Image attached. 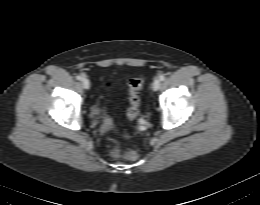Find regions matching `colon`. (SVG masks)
Returning <instances> with one entry per match:
<instances>
[{
  "instance_id": "1",
  "label": "colon",
  "mask_w": 260,
  "mask_h": 205,
  "mask_svg": "<svg viewBox=\"0 0 260 205\" xmlns=\"http://www.w3.org/2000/svg\"><path fill=\"white\" fill-rule=\"evenodd\" d=\"M144 84V79L141 77H136L130 79L128 83V101L129 107L127 110V117L129 120H134L139 114V107H140V96L139 91L142 89ZM115 156L123 155L129 160H136L138 159V153L133 150H127L125 152H121L119 150H115L113 152Z\"/></svg>"
}]
</instances>
